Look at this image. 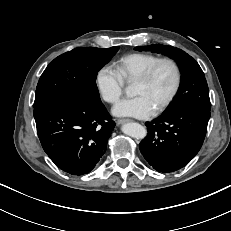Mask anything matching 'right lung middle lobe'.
<instances>
[{
    "label": "right lung middle lobe",
    "mask_w": 231,
    "mask_h": 231,
    "mask_svg": "<svg viewBox=\"0 0 231 231\" xmlns=\"http://www.w3.org/2000/svg\"><path fill=\"white\" fill-rule=\"evenodd\" d=\"M118 49L82 47L55 58L39 79L34 109L59 101L101 102L96 76Z\"/></svg>",
    "instance_id": "dd1d6c3e"
}]
</instances>
